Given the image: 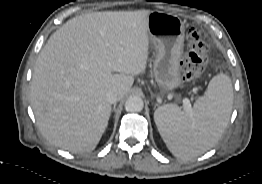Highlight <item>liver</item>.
<instances>
[{
	"instance_id": "obj_1",
	"label": "liver",
	"mask_w": 262,
	"mask_h": 184,
	"mask_svg": "<svg viewBox=\"0 0 262 184\" xmlns=\"http://www.w3.org/2000/svg\"><path fill=\"white\" fill-rule=\"evenodd\" d=\"M151 11H104L74 17L38 55L31 103L43 136L73 153L94 150L111 115L109 90L121 99L146 69Z\"/></svg>"
}]
</instances>
